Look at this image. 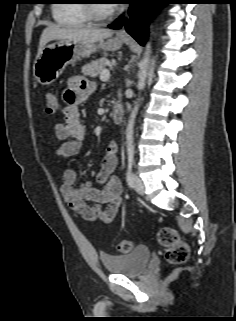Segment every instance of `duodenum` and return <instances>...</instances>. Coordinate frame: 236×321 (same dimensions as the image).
<instances>
[{
	"instance_id": "obj_1",
	"label": "duodenum",
	"mask_w": 236,
	"mask_h": 321,
	"mask_svg": "<svg viewBox=\"0 0 236 321\" xmlns=\"http://www.w3.org/2000/svg\"><path fill=\"white\" fill-rule=\"evenodd\" d=\"M111 116L114 123L121 124L124 120L123 108L119 104H115L112 108Z\"/></svg>"
}]
</instances>
